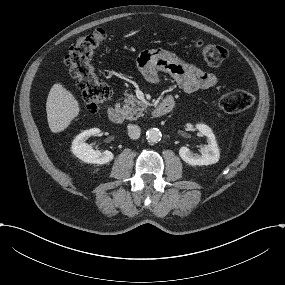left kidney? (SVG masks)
<instances>
[{"label": "left kidney", "instance_id": "1", "mask_svg": "<svg viewBox=\"0 0 285 285\" xmlns=\"http://www.w3.org/2000/svg\"><path fill=\"white\" fill-rule=\"evenodd\" d=\"M196 128L208 138V144L201 149V156H194L189 148L183 146L179 150L180 157L190 165H211L217 163L220 158V152L212 129L205 124H197Z\"/></svg>", "mask_w": 285, "mask_h": 285}]
</instances>
